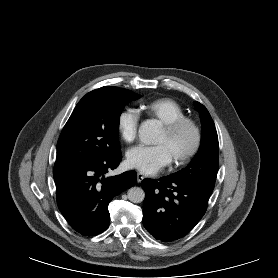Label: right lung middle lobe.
<instances>
[{
    "label": "right lung middle lobe",
    "instance_id": "obj_1",
    "mask_svg": "<svg viewBox=\"0 0 278 278\" xmlns=\"http://www.w3.org/2000/svg\"><path fill=\"white\" fill-rule=\"evenodd\" d=\"M139 97L126 89H97L86 94L61 132L55 164L107 158L119 153L121 111L126 104Z\"/></svg>",
    "mask_w": 278,
    "mask_h": 278
}]
</instances>
